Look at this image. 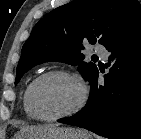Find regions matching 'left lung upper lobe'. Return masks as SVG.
Returning <instances> with one entry per match:
<instances>
[{"label": "left lung upper lobe", "mask_w": 141, "mask_h": 139, "mask_svg": "<svg viewBox=\"0 0 141 139\" xmlns=\"http://www.w3.org/2000/svg\"><path fill=\"white\" fill-rule=\"evenodd\" d=\"M141 22L137 0H74L43 17L23 45L16 70L17 84L37 64L59 61L78 66L87 80L97 71L84 62L82 42L107 46Z\"/></svg>", "instance_id": "1"}]
</instances>
